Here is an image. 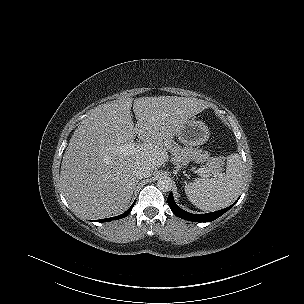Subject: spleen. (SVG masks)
Segmentation results:
<instances>
[{
  "label": "spleen",
  "mask_w": 304,
  "mask_h": 304,
  "mask_svg": "<svg viewBox=\"0 0 304 304\" xmlns=\"http://www.w3.org/2000/svg\"><path fill=\"white\" fill-rule=\"evenodd\" d=\"M226 159V174L199 178L185 186L188 199L199 209L215 211L229 206L238 197L244 184L242 158L233 153Z\"/></svg>",
  "instance_id": "1"
}]
</instances>
